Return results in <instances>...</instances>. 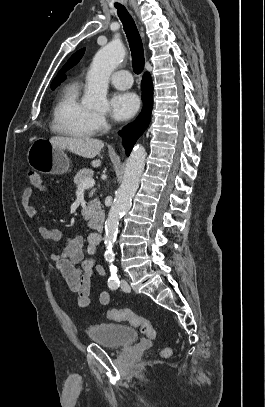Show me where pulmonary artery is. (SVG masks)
Listing matches in <instances>:
<instances>
[{
  "label": "pulmonary artery",
  "mask_w": 265,
  "mask_h": 407,
  "mask_svg": "<svg viewBox=\"0 0 265 407\" xmlns=\"http://www.w3.org/2000/svg\"><path fill=\"white\" fill-rule=\"evenodd\" d=\"M112 84L118 89H128L132 86L133 79L129 71L118 70L111 75Z\"/></svg>",
  "instance_id": "obj_1"
}]
</instances>
